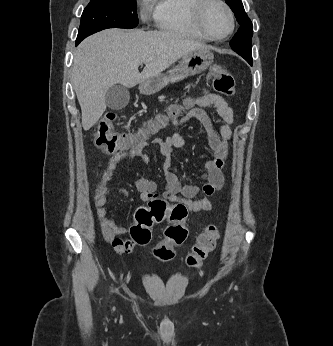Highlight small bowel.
<instances>
[{"mask_svg": "<svg viewBox=\"0 0 333 346\" xmlns=\"http://www.w3.org/2000/svg\"><path fill=\"white\" fill-rule=\"evenodd\" d=\"M189 111L182 117L173 119V133L167 139L155 138L150 142L140 144L138 147L128 152L114 155L106 170L102 174L101 180L96 187L94 205L96 215L100 223V228L104 239L109 242L114 254H133L136 250V236L132 235L130 228L120 225L116 218L110 214L107 201L114 191L127 196L125 189L109 188V184L115 172L120 168V163L126 158H138L143 163L149 164L151 158L145 152L147 146L154 147L162 156L166 158L162 171L165 176V185L159 189L157 184L146 178L137 179L135 185L141 193V201L147 202L156 197H162L173 204L183 205L187 212L199 213L209 211L212 208V201L208 198L216 191L222 189L224 176L222 168L227 157L226 141L232 138L231 124L233 123V111L226 101L219 95L204 88L199 97L192 98L187 103ZM214 107L222 122L214 124L204 108ZM191 119L198 120L205 128L208 143L211 150V158L205 162L206 173L203 176L204 182L201 186L184 185L177 175L172 171L170 155L173 148H180L185 144L179 129ZM202 192L208 197L197 198Z\"/></svg>", "mask_w": 333, "mask_h": 346, "instance_id": "obj_1", "label": "small bowel"}]
</instances>
